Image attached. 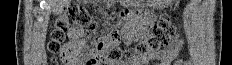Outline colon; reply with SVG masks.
Returning <instances> with one entry per match:
<instances>
[{"label": "colon", "mask_w": 232, "mask_h": 65, "mask_svg": "<svg viewBox=\"0 0 232 65\" xmlns=\"http://www.w3.org/2000/svg\"><path fill=\"white\" fill-rule=\"evenodd\" d=\"M72 28L85 29L93 37L92 46L87 51L79 53L85 65H103L108 62H117L123 57L132 60L146 56L166 46L175 33L171 19L164 14L147 37H141L135 46L123 50L116 37H104L98 34L97 23L85 8L71 4L55 20L51 31L48 49L53 54V61H56L57 54H61L65 60L64 42L67 31Z\"/></svg>", "instance_id": "1"}]
</instances>
